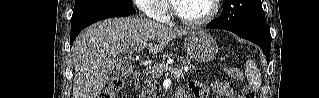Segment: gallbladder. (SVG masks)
<instances>
[{
    "instance_id": "1",
    "label": "gallbladder",
    "mask_w": 319,
    "mask_h": 98,
    "mask_svg": "<svg viewBox=\"0 0 319 98\" xmlns=\"http://www.w3.org/2000/svg\"><path fill=\"white\" fill-rule=\"evenodd\" d=\"M124 63V62H122ZM121 64V62H119L118 60H109L106 62V65L107 67H109V70H108V73H114V72H119V65ZM124 68H127V66L125 67L123 64H122V68L121 70H123Z\"/></svg>"
}]
</instances>
